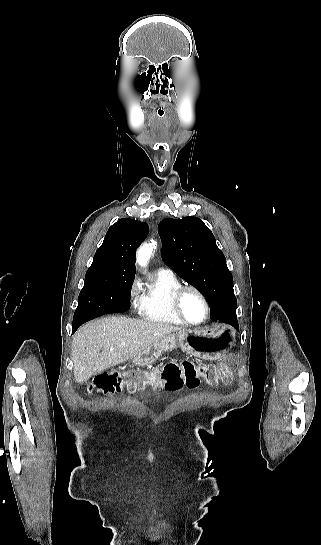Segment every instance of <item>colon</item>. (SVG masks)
<instances>
[{
    "label": "colon",
    "mask_w": 321,
    "mask_h": 545,
    "mask_svg": "<svg viewBox=\"0 0 321 545\" xmlns=\"http://www.w3.org/2000/svg\"><path fill=\"white\" fill-rule=\"evenodd\" d=\"M236 364L237 359L234 356H229L216 365L197 364L191 360H184L182 362H167L160 369L152 372L141 369L125 372L106 371L94 377L89 385V391L110 395L123 389L136 391L146 386H151L155 391L163 389L176 391L183 387L196 388L202 379L210 385L230 383L233 380V370Z\"/></svg>",
    "instance_id": "1"
}]
</instances>
